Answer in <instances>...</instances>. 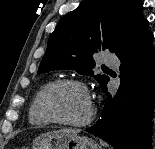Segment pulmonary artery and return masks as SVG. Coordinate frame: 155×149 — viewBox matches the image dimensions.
I'll return each instance as SVG.
<instances>
[{
    "label": "pulmonary artery",
    "mask_w": 155,
    "mask_h": 149,
    "mask_svg": "<svg viewBox=\"0 0 155 149\" xmlns=\"http://www.w3.org/2000/svg\"><path fill=\"white\" fill-rule=\"evenodd\" d=\"M104 62L108 66H118L120 63L119 59L114 55H106Z\"/></svg>",
    "instance_id": "pulmonary-artery-1"
}]
</instances>
